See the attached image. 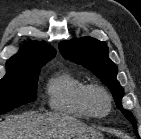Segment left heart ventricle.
Here are the masks:
<instances>
[{
  "label": "left heart ventricle",
  "mask_w": 141,
  "mask_h": 139,
  "mask_svg": "<svg viewBox=\"0 0 141 139\" xmlns=\"http://www.w3.org/2000/svg\"><path fill=\"white\" fill-rule=\"evenodd\" d=\"M96 106L99 111H103L106 107V102L102 96L96 97Z\"/></svg>",
  "instance_id": "1"
}]
</instances>
